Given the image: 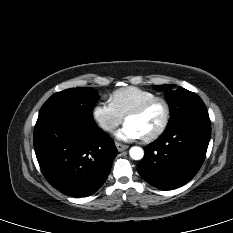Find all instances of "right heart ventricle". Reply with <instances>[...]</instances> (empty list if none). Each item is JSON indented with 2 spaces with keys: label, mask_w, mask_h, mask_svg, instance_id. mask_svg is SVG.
<instances>
[{
  "label": "right heart ventricle",
  "mask_w": 233,
  "mask_h": 233,
  "mask_svg": "<svg viewBox=\"0 0 233 233\" xmlns=\"http://www.w3.org/2000/svg\"><path fill=\"white\" fill-rule=\"evenodd\" d=\"M156 94L147 89L136 86H127L113 91L109 97L110 103L122 116L137 107L144 101L155 97Z\"/></svg>",
  "instance_id": "right-heart-ventricle-1"
}]
</instances>
